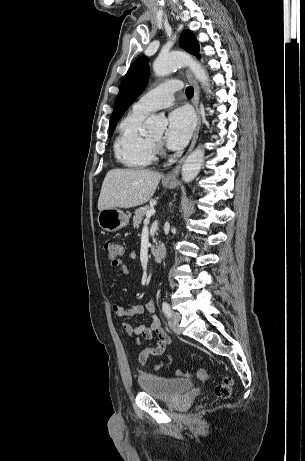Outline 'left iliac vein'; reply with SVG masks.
<instances>
[{
	"mask_svg": "<svg viewBox=\"0 0 305 461\" xmlns=\"http://www.w3.org/2000/svg\"><path fill=\"white\" fill-rule=\"evenodd\" d=\"M181 320V315L178 312H174L172 314V321H171V328L173 329L174 332L177 334H181V329L179 327V323Z\"/></svg>",
	"mask_w": 305,
	"mask_h": 461,
	"instance_id": "left-iliac-vein-1",
	"label": "left iliac vein"
}]
</instances>
